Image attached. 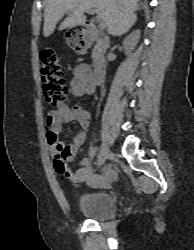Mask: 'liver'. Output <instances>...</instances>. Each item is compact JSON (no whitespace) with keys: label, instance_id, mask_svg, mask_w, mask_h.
Here are the masks:
<instances>
[{"label":"liver","instance_id":"obj_1","mask_svg":"<svg viewBox=\"0 0 194 250\" xmlns=\"http://www.w3.org/2000/svg\"><path fill=\"white\" fill-rule=\"evenodd\" d=\"M137 0H47L44 11L43 35L49 37L57 22L65 13H72L59 26V30L83 25L86 22L84 12L96 10L110 34L122 35L136 22Z\"/></svg>","mask_w":194,"mask_h":250}]
</instances>
